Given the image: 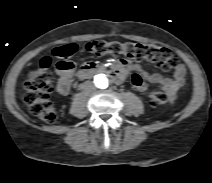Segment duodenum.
Returning a JSON list of instances; mask_svg holds the SVG:
<instances>
[{"instance_id": "410a0bca", "label": "duodenum", "mask_w": 212, "mask_h": 183, "mask_svg": "<svg viewBox=\"0 0 212 183\" xmlns=\"http://www.w3.org/2000/svg\"><path fill=\"white\" fill-rule=\"evenodd\" d=\"M97 73H106L111 80L117 83L123 80V73L118 67L113 69H107L93 62L84 64L79 69L77 77L81 80H84L92 77Z\"/></svg>"}]
</instances>
